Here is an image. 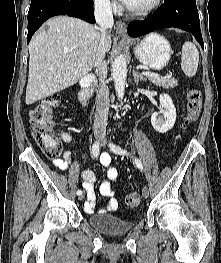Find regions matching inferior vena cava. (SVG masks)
I'll use <instances>...</instances> for the list:
<instances>
[{
    "instance_id": "1",
    "label": "inferior vena cava",
    "mask_w": 221,
    "mask_h": 263,
    "mask_svg": "<svg viewBox=\"0 0 221 263\" xmlns=\"http://www.w3.org/2000/svg\"><path fill=\"white\" fill-rule=\"evenodd\" d=\"M95 19L99 25L100 41L98 52L95 59V72L99 76V87L96 96V112L94 119L93 131L99 138H105L106 126L109 112V90L105 83L107 73V63L105 60V29L110 28L114 24L112 8L109 0L94 1Z\"/></svg>"
}]
</instances>
